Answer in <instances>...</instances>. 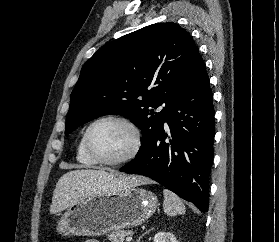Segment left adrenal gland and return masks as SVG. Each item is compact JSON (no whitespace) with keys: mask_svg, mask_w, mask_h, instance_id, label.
<instances>
[{"mask_svg":"<svg viewBox=\"0 0 279 242\" xmlns=\"http://www.w3.org/2000/svg\"><path fill=\"white\" fill-rule=\"evenodd\" d=\"M152 229H149V230H147L145 233H143L140 237H139V239L137 240V242H139L140 241V239L145 235V234H147L148 232H150Z\"/></svg>","mask_w":279,"mask_h":242,"instance_id":"obj_1","label":"left adrenal gland"}]
</instances>
